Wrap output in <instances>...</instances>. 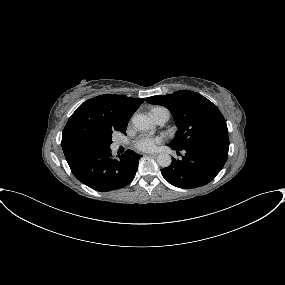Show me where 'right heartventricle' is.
<instances>
[{
  "instance_id": "1",
  "label": "right heart ventricle",
  "mask_w": 285,
  "mask_h": 285,
  "mask_svg": "<svg viewBox=\"0 0 285 285\" xmlns=\"http://www.w3.org/2000/svg\"><path fill=\"white\" fill-rule=\"evenodd\" d=\"M158 110H167V109H165V108H163V107H155V108H153V109L151 110V115H152L155 111H158Z\"/></svg>"
}]
</instances>
